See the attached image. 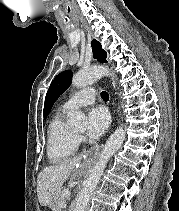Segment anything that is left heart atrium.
Wrapping results in <instances>:
<instances>
[{
  "label": "left heart atrium",
  "instance_id": "obj_1",
  "mask_svg": "<svg viewBox=\"0 0 179 211\" xmlns=\"http://www.w3.org/2000/svg\"><path fill=\"white\" fill-rule=\"evenodd\" d=\"M87 122V136L92 140H96L107 130L110 118L105 109L94 108L88 113Z\"/></svg>",
  "mask_w": 179,
  "mask_h": 211
}]
</instances>
